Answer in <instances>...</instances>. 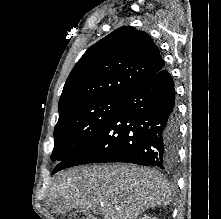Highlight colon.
<instances>
[{"mask_svg":"<svg viewBox=\"0 0 221 219\" xmlns=\"http://www.w3.org/2000/svg\"><path fill=\"white\" fill-rule=\"evenodd\" d=\"M70 219H90V217L83 213H76Z\"/></svg>","mask_w":221,"mask_h":219,"instance_id":"colon-1","label":"colon"}]
</instances>
